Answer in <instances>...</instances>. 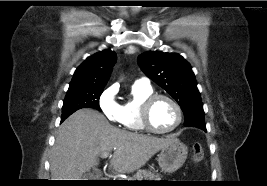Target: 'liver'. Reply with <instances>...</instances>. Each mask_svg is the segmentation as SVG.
<instances>
[{
  "label": "liver",
  "mask_w": 267,
  "mask_h": 186,
  "mask_svg": "<svg viewBox=\"0 0 267 186\" xmlns=\"http://www.w3.org/2000/svg\"><path fill=\"white\" fill-rule=\"evenodd\" d=\"M173 136L158 138L124 131L112 126L100 112L80 109L58 129L50 158L52 180H81L95 168L97 157L114 150L110 166L118 173L143 167Z\"/></svg>",
  "instance_id": "1"
}]
</instances>
